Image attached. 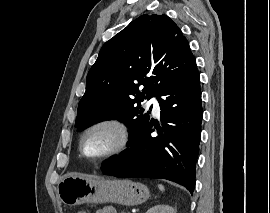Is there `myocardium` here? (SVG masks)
Listing matches in <instances>:
<instances>
[{"mask_svg":"<svg viewBox=\"0 0 270 213\" xmlns=\"http://www.w3.org/2000/svg\"><path fill=\"white\" fill-rule=\"evenodd\" d=\"M99 128H109V129L114 130L117 133L118 141L113 147H111L109 150H107L103 154L97 157H91V156H88L84 151V147H83L84 140L90 132ZM128 141H129V131L126 124L117 118L104 117V118H99L91 122L88 126L85 127V129L82 131L80 135L78 148H79L80 154L85 159L89 161H94V162H101L122 152L127 146Z\"/></svg>","mask_w":270,"mask_h":213,"instance_id":"1","label":"myocardium"}]
</instances>
